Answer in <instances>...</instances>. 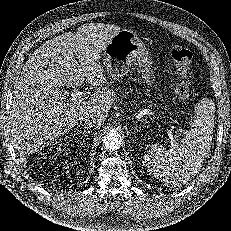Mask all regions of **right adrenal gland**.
I'll return each mask as SVG.
<instances>
[{"label": "right adrenal gland", "mask_w": 231, "mask_h": 231, "mask_svg": "<svg viewBox=\"0 0 231 231\" xmlns=\"http://www.w3.org/2000/svg\"><path fill=\"white\" fill-rule=\"evenodd\" d=\"M90 133V131H88V130H84V131H82V130H74V135L76 134H82V136H88V134Z\"/></svg>", "instance_id": "1"}]
</instances>
